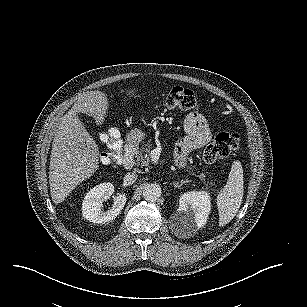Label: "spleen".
Segmentation results:
<instances>
[{"label":"spleen","instance_id":"1","mask_svg":"<svg viewBox=\"0 0 307 307\" xmlns=\"http://www.w3.org/2000/svg\"><path fill=\"white\" fill-rule=\"evenodd\" d=\"M244 195L243 168L236 160L231 165L228 181L217 196L219 226L228 224L237 214Z\"/></svg>","mask_w":307,"mask_h":307}]
</instances>
